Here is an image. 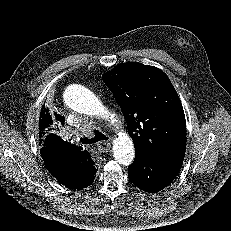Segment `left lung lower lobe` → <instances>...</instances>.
<instances>
[{
    "label": "left lung lower lobe",
    "mask_w": 231,
    "mask_h": 231,
    "mask_svg": "<svg viewBox=\"0 0 231 231\" xmlns=\"http://www.w3.org/2000/svg\"><path fill=\"white\" fill-rule=\"evenodd\" d=\"M182 163L183 160H163L139 151L136 152L135 161L128 168V176L141 190L156 193L174 180Z\"/></svg>",
    "instance_id": "1"
}]
</instances>
